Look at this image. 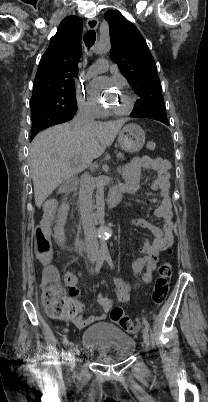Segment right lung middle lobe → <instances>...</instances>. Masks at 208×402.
Returning <instances> with one entry per match:
<instances>
[{
  "instance_id": "obj_1",
  "label": "right lung middle lobe",
  "mask_w": 208,
  "mask_h": 402,
  "mask_svg": "<svg viewBox=\"0 0 208 402\" xmlns=\"http://www.w3.org/2000/svg\"><path fill=\"white\" fill-rule=\"evenodd\" d=\"M77 111L75 85L64 81L54 86L38 89L31 97L32 119L39 116L73 115Z\"/></svg>"
}]
</instances>
